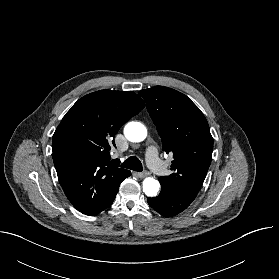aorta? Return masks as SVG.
Returning <instances> with one entry per match:
<instances>
[{
    "instance_id": "aorta-1",
    "label": "aorta",
    "mask_w": 279,
    "mask_h": 279,
    "mask_svg": "<svg viewBox=\"0 0 279 279\" xmlns=\"http://www.w3.org/2000/svg\"><path fill=\"white\" fill-rule=\"evenodd\" d=\"M125 137L131 142H141L147 137V129L140 122H129L124 128ZM159 182L151 177H147L143 181V192L149 196H156L159 191Z\"/></svg>"
}]
</instances>
